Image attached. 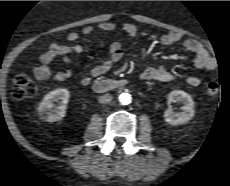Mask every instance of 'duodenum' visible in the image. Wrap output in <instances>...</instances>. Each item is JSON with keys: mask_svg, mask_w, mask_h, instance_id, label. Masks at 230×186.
Returning <instances> with one entry per match:
<instances>
[{"mask_svg": "<svg viewBox=\"0 0 230 186\" xmlns=\"http://www.w3.org/2000/svg\"><path fill=\"white\" fill-rule=\"evenodd\" d=\"M128 84L125 79H104L96 81L93 84V89L97 92H108L111 90L119 89Z\"/></svg>", "mask_w": 230, "mask_h": 186, "instance_id": "duodenum-1", "label": "duodenum"}]
</instances>
